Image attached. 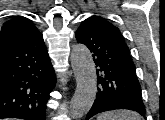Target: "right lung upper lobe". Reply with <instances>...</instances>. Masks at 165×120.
Listing matches in <instances>:
<instances>
[{
	"instance_id": "right-lung-upper-lobe-1",
	"label": "right lung upper lobe",
	"mask_w": 165,
	"mask_h": 120,
	"mask_svg": "<svg viewBox=\"0 0 165 120\" xmlns=\"http://www.w3.org/2000/svg\"><path fill=\"white\" fill-rule=\"evenodd\" d=\"M38 34L40 32L30 19L14 16L11 20L5 22L1 29L0 49Z\"/></svg>"
}]
</instances>
